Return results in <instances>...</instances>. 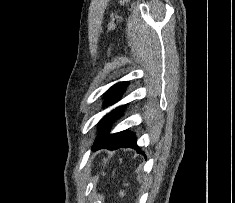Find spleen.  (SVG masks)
Wrapping results in <instances>:
<instances>
[{
	"label": "spleen",
	"instance_id": "3e777b00",
	"mask_svg": "<svg viewBox=\"0 0 235 203\" xmlns=\"http://www.w3.org/2000/svg\"><path fill=\"white\" fill-rule=\"evenodd\" d=\"M137 180L139 181V183L142 182L141 179H140V175H138Z\"/></svg>",
	"mask_w": 235,
	"mask_h": 203
}]
</instances>
